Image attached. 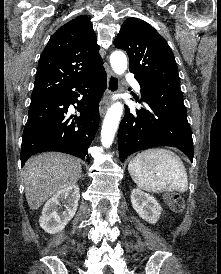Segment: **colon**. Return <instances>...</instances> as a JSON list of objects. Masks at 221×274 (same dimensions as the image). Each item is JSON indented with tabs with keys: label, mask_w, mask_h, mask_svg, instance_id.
Wrapping results in <instances>:
<instances>
[{
	"label": "colon",
	"mask_w": 221,
	"mask_h": 274,
	"mask_svg": "<svg viewBox=\"0 0 221 274\" xmlns=\"http://www.w3.org/2000/svg\"><path fill=\"white\" fill-rule=\"evenodd\" d=\"M166 202L170 208L175 212H181L184 208V201L182 197L176 193H170L166 196Z\"/></svg>",
	"instance_id": "1"
}]
</instances>
